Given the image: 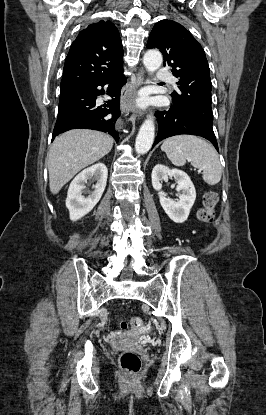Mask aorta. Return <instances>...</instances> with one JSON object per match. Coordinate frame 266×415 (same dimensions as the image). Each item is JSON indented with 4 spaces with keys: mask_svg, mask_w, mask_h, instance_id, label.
<instances>
[{
    "mask_svg": "<svg viewBox=\"0 0 266 415\" xmlns=\"http://www.w3.org/2000/svg\"><path fill=\"white\" fill-rule=\"evenodd\" d=\"M162 61V55L157 50H148L143 57V63L150 74L160 68ZM154 135V120L153 116L149 115L141 125L136 137L135 149L138 154H145L149 151L154 141Z\"/></svg>",
    "mask_w": 266,
    "mask_h": 415,
    "instance_id": "762f6f07",
    "label": "aorta"
}]
</instances>
